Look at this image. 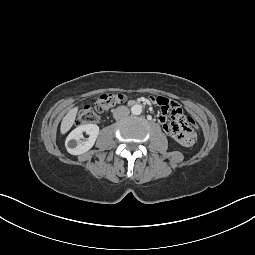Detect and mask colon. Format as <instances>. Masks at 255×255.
I'll list each match as a JSON object with an SVG mask.
<instances>
[{
    "mask_svg": "<svg viewBox=\"0 0 255 255\" xmlns=\"http://www.w3.org/2000/svg\"><path fill=\"white\" fill-rule=\"evenodd\" d=\"M123 98L124 96L119 93L102 94L92 106H85L84 108L81 109V111L78 114L77 124L83 125V124L97 122L99 120L98 113H103L108 111L114 105L122 102ZM184 117L186 118L187 122L193 129L198 128V125L190 116H187V117L184 116Z\"/></svg>",
    "mask_w": 255,
    "mask_h": 255,
    "instance_id": "1",
    "label": "colon"
}]
</instances>
